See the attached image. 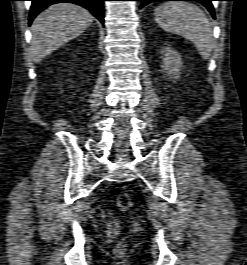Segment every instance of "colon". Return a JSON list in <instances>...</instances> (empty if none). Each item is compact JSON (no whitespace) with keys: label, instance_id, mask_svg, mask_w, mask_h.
I'll use <instances>...</instances> for the list:
<instances>
[{"label":"colon","instance_id":"1","mask_svg":"<svg viewBox=\"0 0 247 265\" xmlns=\"http://www.w3.org/2000/svg\"><path fill=\"white\" fill-rule=\"evenodd\" d=\"M116 205L120 211H122V212L128 211L132 205V201H131L130 196L126 193L119 194L116 198ZM115 249L118 253H123L125 251L124 242H119L116 245Z\"/></svg>","mask_w":247,"mask_h":265}]
</instances>
